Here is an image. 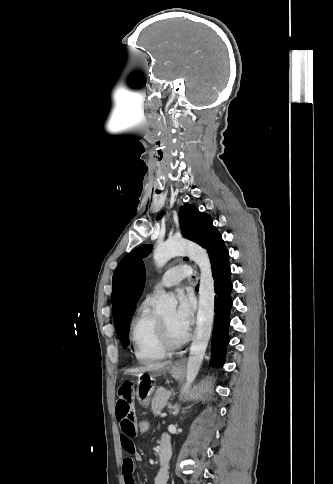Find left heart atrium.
I'll return each instance as SVG.
<instances>
[{
  "instance_id": "1",
  "label": "left heart atrium",
  "mask_w": 333,
  "mask_h": 484,
  "mask_svg": "<svg viewBox=\"0 0 333 484\" xmlns=\"http://www.w3.org/2000/svg\"><path fill=\"white\" fill-rule=\"evenodd\" d=\"M178 305L174 313V323L176 327L186 334L190 329L194 316V301L192 297L183 292L177 295Z\"/></svg>"
}]
</instances>
